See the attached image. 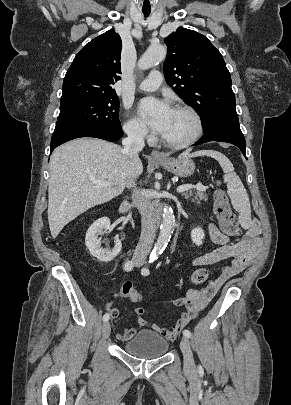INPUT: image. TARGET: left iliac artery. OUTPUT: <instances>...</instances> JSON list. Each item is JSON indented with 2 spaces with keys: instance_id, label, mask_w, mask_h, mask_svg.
I'll use <instances>...</instances> for the list:
<instances>
[{
  "instance_id": "obj_1",
  "label": "left iliac artery",
  "mask_w": 291,
  "mask_h": 405,
  "mask_svg": "<svg viewBox=\"0 0 291 405\" xmlns=\"http://www.w3.org/2000/svg\"><path fill=\"white\" fill-rule=\"evenodd\" d=\"M141 273H142V275H144V276L149 275V273H150L149 267H148V266H147V267H144V268L141 270ZM183 335H184L185 337H187V338H191V336H192L191 332H190L188 329H185V330L183 331Z\"/></svg>"
}]
</instances>
